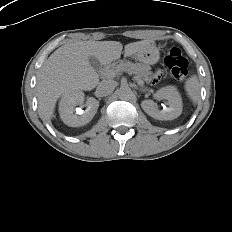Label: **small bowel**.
Instances as JSON below:
<instances>
[{
    "label": "small bowel",
    "instance_id": "1",
    "mask_svg": "<svg viewBox=\"0 0 232 232\" xmlns=\"http://www.w3.org/2000/svg\"><path fill=\"white\" fill-rule=\"evenodd\" d=\"M166 70L167 69L165 65H158L157 68L154 69L152 76L147 79V86L152 88L155 87L158 82H161L162 79L165 78L167 72Z\"/></svg>",
    "mask_w": 232,
    "mask_h": 232
}]
</instances>
